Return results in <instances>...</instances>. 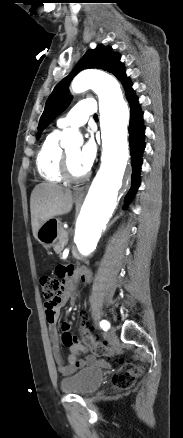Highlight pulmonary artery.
Segmentation results:
<instances>
[{
  "label": "pulmonary artery",
  "instance_id": "pulmonary-artery-1",
  "mask_svg": "<svg viewBox=\"0 0 183 438\" xmlns=\"http://www.w3.org/2000/svg\"><path fill=\"white\" fill-rule=\"evenodd\" d=\"M97 105L92 99H84L77 103L65 116L58 120L60 129L76 128L84 125L89 116L96 113Z\"/></svg>",
  "mask_w": 183,
  "mask_h": 438
}]
</instances>
